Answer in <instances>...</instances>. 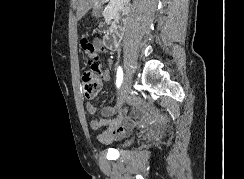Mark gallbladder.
Returning a JSON list of instances; mask_svg holds the SVG:
<instances>
[{
	"instance_id": "obj_1",
	"label": "gallbladder",
	"mask_w": 244,
	"mask_h": 179,
	"mask_svg": "<svg viewBox=\"0 0 244 179\" xmlns=\"http://www.w3.org/2000/svg\"><path fill=\"white\" fill-rule=\"evenodd\" d=\"M102 10L103 4H98L96 8H93L92 16H96V18H101Z\"/></svg>"
}]
</instances>
